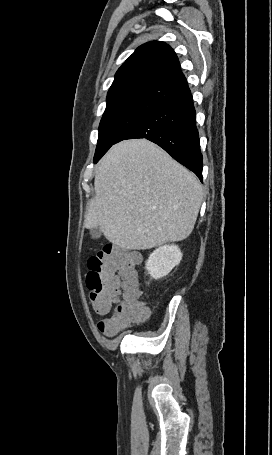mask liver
Returning a JSON list of instances; mask_svg holds the SVG:
<instances>
[{
	"instance_id": "6515ba94",
	"label": "liver",
	"mask_w": 272,
	"mask_h": 455,
	"mask_svg": "<svg viewBox=\"0 0 272 455\" xmlns=\"http://www.w3.org/2000/svg\"><path fill=\"white\" fill-rule=\"evenodd\" d=\"M94 189L85 226L129 250L186 239L202 202L195 175L145 139L112 146L99 164Z\"/></svg>"
}]
</instances>
